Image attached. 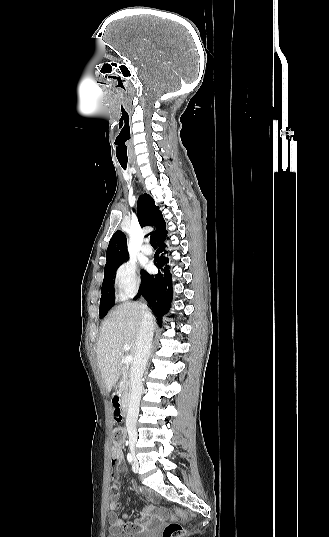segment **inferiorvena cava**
Listing matches in <instances>:
<instances>
[{
	"label": "inferior vena cava",
	"mask_w": 329,
	"mask_h": 537,
	"mask_svg": "<svg viewBox=\"0 0 329 537\" xmlns=\"http://www.w3.org/2000/svg\"><path fill=\"white\" fill-rule=\"evenodd\" d=\"M142 322L137 341V347L131 366V398L126 417L128 432L137 434V419L139 415L140 400L143 392L142 377L148 361L153 338V318L146 305L142 307Z\"/></svg>",
	"instance_id": "602c4592"
}]
</instances>
